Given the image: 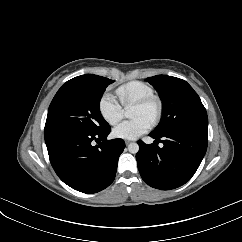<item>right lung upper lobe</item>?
Segmentation results:
<instances>
[{
    "label": "right lung upper lobe",
    "instance_id": "1",
    "mask_svg": "<svg viewBox=\"0 0 242 242\" xmlns=\"http://www.w3.org/2000/svg\"><path fill=\"white\" fill-rule=\"evenodd\" d=\"M91 74H85V75H81V76H78V77H75V78H87V77H90Z\"/></svg>",
    "mask_w": 242,
    "mask_h": 242
}]
</instances>
